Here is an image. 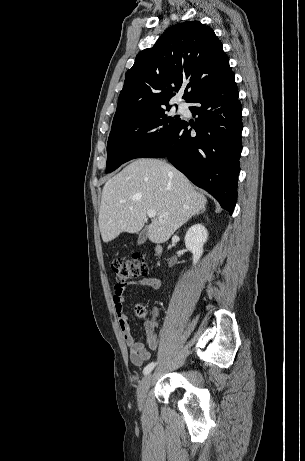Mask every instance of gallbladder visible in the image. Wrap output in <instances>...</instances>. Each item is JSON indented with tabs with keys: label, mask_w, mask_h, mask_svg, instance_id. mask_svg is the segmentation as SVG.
<instances>
[{
	"label": "gallbladder",
	"mask_w": 305,
	"mask_h": 461,
	"mask_svg": "<svg viewBox=\"0 0 305 461\" xmlns=\"http://www.w3.org/2000/svg\"><path fill=\"white\" fill-rule=\"evenodd\" d=\"M147 239V230L146 228L141 230L139 235H138V240H137V244L138 245H141L143 244Z\"/></svg>",
	"instance_id": "bac80fb5"
}]
</instances>
